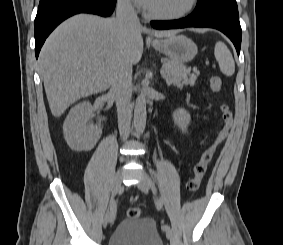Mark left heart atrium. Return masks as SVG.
Returning a JSON list of instances; mask_svg holds the SVG:
<instances>
[{"mask_svg": "<svg viewBox=\"0 0 283 245\" xmlns=\"http://www.w3.org/2000/svg\"><path fill=\"white\" fill-rule=\"evenodd\" d=\"M139 5L143 6V7H147L150 3V0H135Z\"/></svg>", "mask_w": 283, "mask_h": 245, "instance_id": "39dd6f15", "label": "left heart atrium"}]
</instances>
